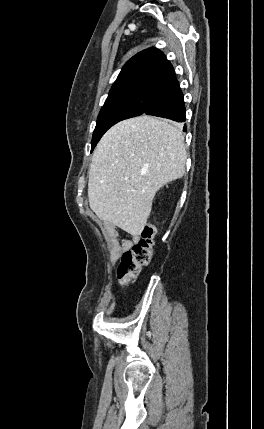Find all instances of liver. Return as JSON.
Instances as JSON below:
<instances>
[{"label": "liver", "instance_id": "liver-1", "mask_svg": "<svg viewBox=\"0 0 264 429\" xmlns=\"http://www.w3.org/2000/svg\"><path fill=\"white\" fill-rule=\"evenodd\" d=\"M187 159L181 128L142 115L111 127L99 141L88 180L90 208L133 236L143 231L156 192L181 178Z\"/></svg>", "mask_w": 264, "mask_h": 429}]
</instances>
